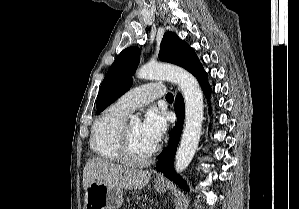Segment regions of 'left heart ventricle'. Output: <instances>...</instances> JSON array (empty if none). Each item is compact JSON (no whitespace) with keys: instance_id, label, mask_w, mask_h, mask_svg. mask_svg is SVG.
Wrapping results in <instances>:
<instances>
[{"instance_id":"1","label":"left heart ventricle","mask_w":299,"mask_h":209,"mask_svg":"<svg viewBox=\"0 0 299 209\" xmlns=\"http://www.w3.org/2000/svg\"><path fill=\"white\" fill-rule=\"evenodd\" d=\"M128 135L130 151L135 159H143L152 152L153 148L141 136L139 124L128 125Z\"/></svg>"}]
</instances>
